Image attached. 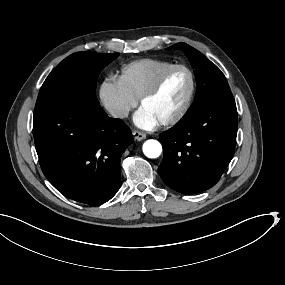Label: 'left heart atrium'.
Listing matches in <instances>:
<instances>
[{
	"instance_id": "39dd6f15",
	"label": "left heart atrium",
	"mask_w": 285,
	"mask_h": 285,
	"mask_svg": "<svg viewBox=\"0 0 285 285\" xmlns=\"http://www.w3.org/2000/svg\"><path fill=\"white\" fill-rule=\"evenodd\" d=\"M133 121L142 128H154L160 123V120L143 105L134 114Z\"/></svg>"
}]
</instances>
